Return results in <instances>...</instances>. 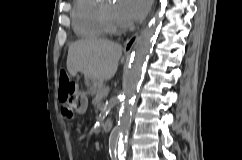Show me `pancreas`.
<instances>
[{"label": "pancreas", "mask_w": 242, "mask_h": 160, "mask_svg": "<svg viewBox=\"0 0 242 160\" xmlns=\"http://www.w3.org/2000/svg\"><path fill=\"white\" fill-rule=\"evenodd\" d=\"M109 88L103 87L94 97L92 104L97 108H100L102 105V100L108 95Z\"/></svg>", "instance_id": "1"}]
</instances>
